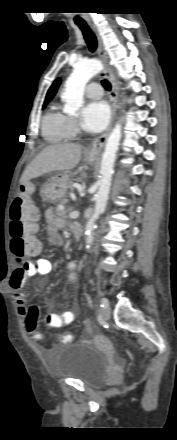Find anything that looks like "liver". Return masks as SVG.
I'll use <instances>...</instances> for the list:
<instances>
[{
  "mask_svg": "<svg viewBox=\"0 0 177 440\" xmlns=\"http://www.w3.org/2000/svg\"><path fill=\"white\" fill-rule=\"evenodd\" d=\"M81 154L82 146L78 144L50 145L26 167L20 182L24 183L45 173L73 169L79 163Z\"/></svg>",
  "mask_w": 177,
  "mask_h": 440,
  "instance_id": "6515ba94",
  "label": "liver"
}]
</instances>
